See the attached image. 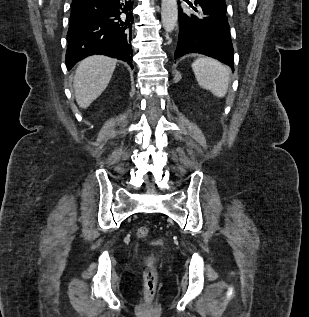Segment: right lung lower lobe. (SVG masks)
<instances>
[{
    "label": "right lung lower lobe",
    "mask_w": 309,
    "mask_h": 317,
    "mask_svg": "<svg viewBox=\"0 0 309 317\" xmlns=\"http://www.w3.org/2000/svg\"><path fill=\"white\" fill-rule=\"evenodd\" d=\"M133 0H73L66 66L93 54L126 61L131 68Z\"/></svg>",
    "instance_id": "1"
}]
</instances>
